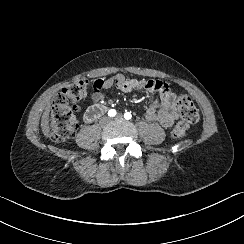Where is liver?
I'll use <instances>...</instances> for the list:
<instances>
[{
	"instance_id": "1",
	"label": "liver",
	"mask_w": 244,
	"mask_h": 244,
	"mask_svg": "<svg viewBox=\"0 0 244 244\" xmlns=\"http://www.w3.org/2000/svg\"><path fill=\"white\" fill-rule=\"evenodd\" d=\"M49 112H50V106L46 107L43 115H42V119H41V128H42V132L43 134L48 137L49 136V132H50V128H49Z\"/></svg>"
}]
</instances>
